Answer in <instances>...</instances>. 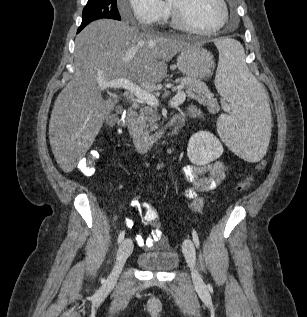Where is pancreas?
<instances>
[{"instance_id":"pancreas-1","label":"pancreas","mask_w":307,"mask_h":317,"mask_svg":"<svg viewBox=\"0 0 307 317\" xmlns=\"http://www.w3.org/2000/svg\"><path fill=\"white\" fill-rule=\"evenodd\" d=\"M179 82L186 88V95L189 98L195 99L199 103L207 106L211 112L219 110L216 100L211 98L207 87L199 79L182 77L179 79ZM158 120L156 109L145 106L140 109V114L132 119V125L146 135L148 131H155L158 128Z\"/></svg>"}]
</instances>
